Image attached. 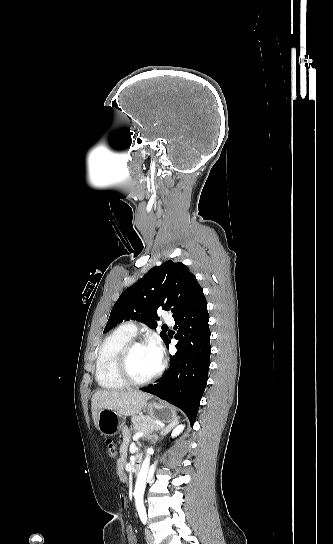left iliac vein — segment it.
<instances>
[{
	"label": "left iliac vein",
	"instance_id": "4c4485c4",
	"mask_svg": "<svg viewBox=\"0 0 333 544\" xmlns=\"http://www.w3.org/2000/svg\"><path fill=\"white\" fill-rule=\"evenodd\" d=\"M145 534L148 544H155L153 534L149 529L146 528Z\"/></svg>",
	"mask_w": 333,
	"mask_h": 544
}]
</instances>
